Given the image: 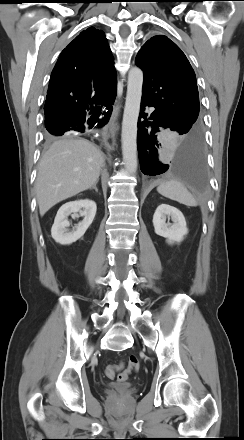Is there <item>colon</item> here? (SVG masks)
<instances>
[{"label": "colon", "mask_w": 244, "mask_h": 440, "mask_svg": "<svg viewBox=\"0 0 244 440\" xmlns=\"http://www.w3.org/2000/svg\"><path fill=\"white\" fill-rule=\"evenodd\" d=\"M140 367V362L137 356L135 355H131L129 357V362H128V369L124 370L123 372H121L118 376H117V380L119 382H125L128 377H129V373L132 369L134 370H138ZM119 367L116 365H108L105 368V375L110 378L113 379L116 376V372L118 371Z\"/></svg>", "instance_id": "1"}]
</instances>
